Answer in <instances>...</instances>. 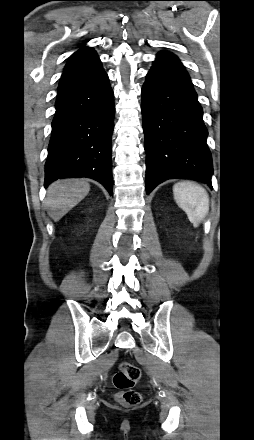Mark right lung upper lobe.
Here are the masks:
<instances>
[{
	"mask_svg": "<svg viewBox=\"0 0 254 440\" xmlns=\"http://www.w3.org/2000/svg\"><path fill=\"white\" fill-rule=\"evenodd\" d=\"M98 60L95 50L91 47H84L83 44L78 51L71 55L64 67L63 74L80 69Z\"/></svg>",
	"mask_w": 254,
	"mask_h": 440,
	"instance_id": "1",
	"label": "right lung upper lobe"
}]
</instances>
